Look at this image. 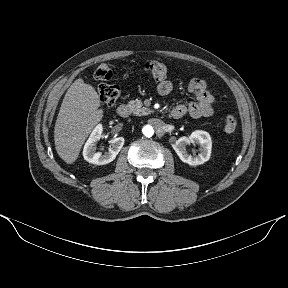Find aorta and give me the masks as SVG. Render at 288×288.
<instances>
[{
    "mask_svg": "<svg viewBox=\"0 0 288 288\" xmlns=\"http://www.w3.org/2000/svg\"><path fill=\"white\" fill-rule=\"evenodd\" d=\"M142 132L146 137H151L154 134V129L151 125H146L143 127Z\"/></svg>",
    "mask_w": 288,
    "mask_h": 288,
    "instance_id": "762f6f07",
    "label": "aorta"
}]
</instances>
